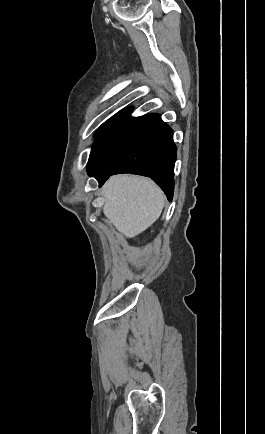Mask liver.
<instances>
[{
    "label": "liver",
    "instance_id": "6515ba94",
    "mask_svg": "<svg viewBox=\"0 0 265 434\" xmlns=\"http://www.w3.org/2000/svg\"><path fill=\"white\" fill-rule=\"evenodd\" d=\"M103 214L126 238H135L161 216L165 196L148 178L113 176L103 188Z\"/></svg>",
    "mask_w": 265,
    "mask_h": 434
}]
</instances>
